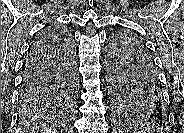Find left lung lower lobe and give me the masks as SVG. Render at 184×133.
I'll return each mask as SVG.
<instances>
[{"label":"left lung lower lobe","mask_w":184,"mask_h":133,"mask_svg":"<svg viewBox=\"0 0 184 133\" xmlns=\"http://www.w3.org/2000/svg\"><path fill=\"white\" fill-rule=\"evenodd\" d=\"M156 86L151 85V89L153 93L155 94L157 101H156V106L160 105L162 102H164V96H163V91H162V86L160 85V80L158 78V75L156 77ZM161 89V91H160ZM158 124H154L153 126H159V127H166L167 122H168V117L159 114L158 116ZM124 118L131 123H134L133 120H131L129 117L124 116ZM135 124V123H134Z\"/></svg>","instance_id":"1"}]
</instances>
